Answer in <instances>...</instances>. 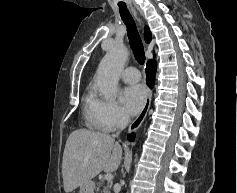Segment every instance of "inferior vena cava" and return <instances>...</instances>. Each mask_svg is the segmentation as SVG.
Segmentation results:
<instances>
[{
  "mask_svg": "<svg viewBox=\"0 0 237 193\" xmlns=\"http://www.w3.org/2000/svg\"><path fill=\"white\" fill-rule=\"evenodd\" d=\"M128 123H129V117L125 114H122L120 119H119L120 130H123L127 126ZM118 134H119V132L114 134L113 137L117 136Z\"/></svg>",
  "mask_w": 237,
  "mask_h": 193,
  "instance_id": "1",
  "label": "inferior vena cava"
}]
</instances>
